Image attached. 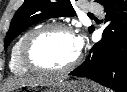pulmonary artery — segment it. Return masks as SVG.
Here are the masks:
<instances>
[{
	"mask_svg": "<svg viewBox=\"0 0 127 92\" xmlns=\"http://www.w3.org/2000/svg\"><path fill=\"white\" fill-rule=\"evenodd\" d=\"M88 11L93 12V13H100L101 9L98 6H89Z\"/></svg>",
	"mask_w": 127,
	"mask_h": 92,
	"instance_id": "1",
	"label": "pulmonary artery"
}]
</instances>
